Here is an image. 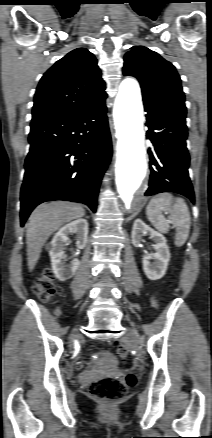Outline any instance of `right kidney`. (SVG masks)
Returning <instances> with one entry per match:
<instances>
[{
	"label": "right kidney",
	"instance_id": "right-kidney-1",
	"mask_svg": "<svg viewBox=\"0 0 212 438\" xmlns=\"http://www.w3.org/2000/svg\"><path fill=\"white\" fill-rule=\"evenodd\" d=\"M70 234L77 235L76 246L78 249H83L88 240L87 220L80 218L66 224L60 228L50 243L49 255L52 269L56 278L61 281L70 279L80 264L78 259H73L69 264L65 263L66 255L64 254V250L69 242L68 235Z\"/></svg>",
	"mask_w": 212,
	"mask_h": 438
}]
</instances>
